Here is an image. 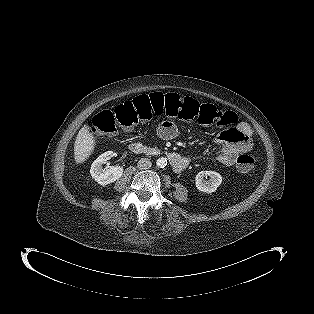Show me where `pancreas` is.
I'll return each mask as SVG.
<instances>
[{
    "mask_svg": "<svg viewBox=\"0 0 314 314\" xmlns=\"http://www.w3.org/2000/svg\"><path fill=\"white\" fill-rule=\"evenodd\" d=\"M151 151L156 153V154L160 153V150L157 147L151 148Z\"/></svg>",
    "mask_w": 314,
    "mask_h": 314,
    "instance_id": "1",
    "label": "pancreas"
}]
</instances>
